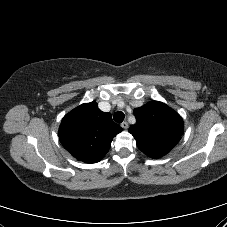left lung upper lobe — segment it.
<instances>
[{"mask_svg": "<svg viewBox=\"0 0 227 227\" xmlns=\"http://www.w3.org/2000/svg\"><path fill=\"white\" fill-rule=\"evenodd\" d=\"M136 124L129 128L138 148L148 157L157 159L166 155L183 134V120L166 104L151 101L134 109Z\"/></svg>", "mask_w": 227, "mask_h": 227, "instance_id": "obj_1", "label": "left lung upper lobe"}]
</instances>
